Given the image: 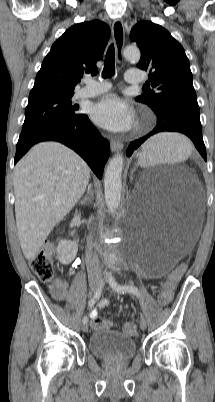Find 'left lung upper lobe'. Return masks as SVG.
Segmentation results:
<instances>
[{"instance_id": "left-lung-upper-lobe-1", "label": "left lung upper lobe", "mask_w": 215, "mask_h": 402, "mask_svg": "<svg viewBox=\"0 0 215 402\" xmlns=\"http://www.w3.org/2000/svg\"><path fill=\"white\" fill-rule=\"evenodd\" d=\"M130 38L141 59L137 67L149 73V90L136 97L156 113L177 111L200 119L189 60L183 47L162 26L139 21ZM150 86L154 90H150Z\"/></svg>"}]
</instances>
